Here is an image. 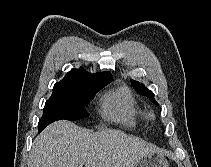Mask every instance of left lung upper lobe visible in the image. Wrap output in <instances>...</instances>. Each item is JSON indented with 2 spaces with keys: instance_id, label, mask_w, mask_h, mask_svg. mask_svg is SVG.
<instances>
[{
  "instance_id": "1",
  "label": "left lung upper lobe",
  "mask_w": 211,
  "mask_h": 167,
  "mask_svg": "<svg viewBox=\"0 0 211 167\" xmlns=\"http://www.w3.org/2000/svg\"><path fill=\"white\" fill-rule=\"evenodd\" d=\"M132 83L134 87H136L137 91H139L140 94L150 97L151 101H153L154 103L158 105V103L154 99V94L150 90H148L143 84H139L137 81H133V80H132Z\"/></svg>"
}]
</instances>
